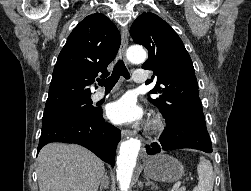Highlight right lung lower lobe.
I'll use <instances>...</instances> for the list:
<instances>
[{"label":"right lung lower lobe","mask_w":251,"mask_h":191,"mask_svg":"<svg viewBox=\"0 0 251 191\" xmlns=\"http://www.w3.org/2000/svg\"><path fill=\"white\" fill-rule=\"evenodd\" d=\"M120 139V130L104 122L102 111L99 110L92 116L72 115L42 125L37 153L51 142L75 143L91 150L114 167Z\"/></svg>","instance_id":"1"}]
</instances>
